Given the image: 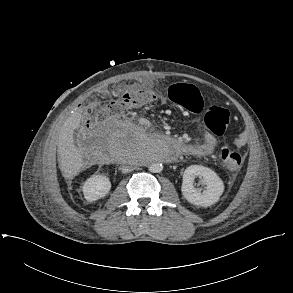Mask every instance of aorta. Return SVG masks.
Segmentation results:
<instances>
[{"instance_id": "762f6f07", "label": "aorta", "mask_w": 293, "mask_h": 293, "mask_svg": "<svg viewBox=\"0 0 293 293\" xmlns=\"http://www.w3.org/2000/svg\"><path fill=\"white\" fill-rule=\"evenodd\" d=\"M151 146L159 156H165L168 152V143L163 139L155 138L151 141ZM163 166L159 162H153L149 166V171L153 173H160Z\"/></svg>"}]
</instances>
